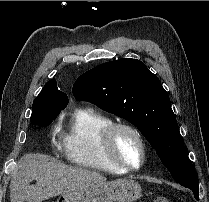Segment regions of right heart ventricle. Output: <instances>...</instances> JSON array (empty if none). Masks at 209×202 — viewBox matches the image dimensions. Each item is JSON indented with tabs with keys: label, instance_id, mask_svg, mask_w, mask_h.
I'll return each mask as SVG.
<instances>
[{
	"label": "right heart ventricle",
	"instance_id": "1",
	"mask_svg": "<svg viewBox=\"0 0 209 202\" xmlns=\"http://www.w3.org/2000/svg\"><path fill=\"white\" fill-rule=\"evenodd\" d=\"M113 120L92 109L77 112L63 136V156L88 169L116 174L127 173L113 165L102 150V139Z\"/></svg>",
	"mask_w": 209,
	"mask_h": 202
}]
</instances>
